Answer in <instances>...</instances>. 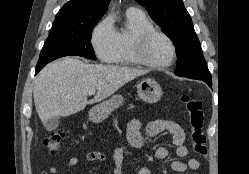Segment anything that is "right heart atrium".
<instances>
[{"label": "right heart atrium", "instance_id": "obj_1", "mask_svg": "<svg viewBox=\"0 0 249 174\" xmlns=\"http://www.w3.org/2000/svg\"><path fill=\"white\" fill-rule=\"evenodd\" d=\"M91 44L97 57L103 62H112L118 52L116 30L109 19H103L94 28Z\"/></svg>", "mask_w": 249, "mask_h": 174}]
</instances>
